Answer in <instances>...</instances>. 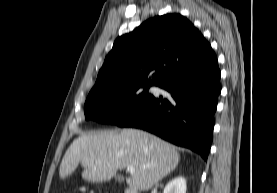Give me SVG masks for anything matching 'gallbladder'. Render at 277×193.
<instances>
[{
    "label": "gallbladder",
    "mask_w": 277,
    "mask_h": 193,
    "mask_svg": "<svg viewBox=\"0 0 277 193\" xmlns=\"http://www.w3.org/2000/svg\"><path fill=\"white\" fill-rule=\"evenodd\" d=\"M116 180H117L118 182H123L124 178H123L122 176L118 175V176L116 177Z\"/></svg>",
    "instance_id": "obj_1"
}]
</instances>
